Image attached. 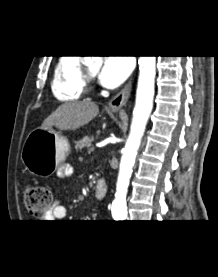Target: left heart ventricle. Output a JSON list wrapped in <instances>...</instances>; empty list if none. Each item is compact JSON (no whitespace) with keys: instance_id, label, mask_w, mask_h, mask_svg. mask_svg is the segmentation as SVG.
Instances as JSON below:
<instances>
[{"instance_id":"left-heart-ventricle-1","label":"left heart ventricle","mask_w":218,"mask_h":277,"mask_svg":"<svg viewBox=\"0 0 218 277\" xmlns=\"http://www.w3.org/2000/svg\"><path fill=\"white\" fill-rule=\"evenodd\" d=\"M87 68L89 69V71L94 74L96 73L97 69H98V66H93V65H89L87 66Z\"/></svg>"}]
</instances>
